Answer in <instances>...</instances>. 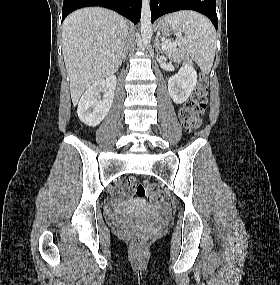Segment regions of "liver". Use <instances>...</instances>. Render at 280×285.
<instances>
[{
  "instance_id": "6515ba94",
  "label": "liver",
  "mask_w": 280,
  "mask_h": 285,
  "mask_svg": "<svg viewBox=\"0 0 280 285\" xmlns=\"http://www.w3.org/2000/svg\"><path fill=\"white\" fill-rule=\"evenodd\" d=\"M127 33V21L104 8L79 9L65 19L62 51L74 105L87 88L118 70Z\"/></svg>"
}]
</instances>
